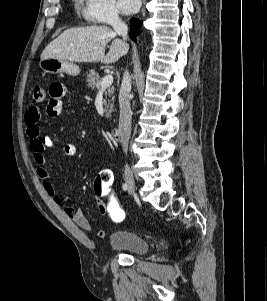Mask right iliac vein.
<instances>
[{
    "label": "right iliac vein",
    "instance_id": "1",
    "mask_svg": "<svg viewBox=\"0 0 267 301\" xmlns=\"http://www.w3.org/2000/svg\"><path fill=\"white\" fill-rule=\"evenodd\" d=\"M124 178L128 188V192L133 194L135 191V181L133 177V173L130 168L126 167L124 171Z\"/></svg>",
    "mask_w": 267,
    "mask_h": 301
}]
</instances>
